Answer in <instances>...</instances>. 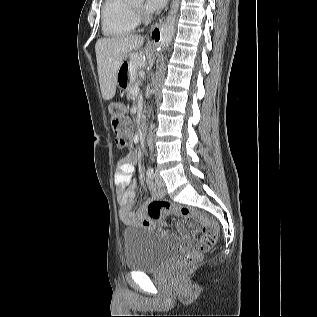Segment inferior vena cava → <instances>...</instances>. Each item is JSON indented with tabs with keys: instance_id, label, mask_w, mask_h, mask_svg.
Here are the masks:
<instances>
[{
	"instance_id": "602c4592",
	"label": "inferior vena cava",
	"mask_w": 317,
	"mask_h": 317,
	"mask_svg": "<svg viewBox=\"0 0 317 317\" xmlns=\"http://www.w3.org/2000/svg\"><path fill=\"white\" fill-rule=\"evenodd\" d=\"M151 129H152V125H151ZM148 144H149L150 150H151V152H152V151H153V143H152L151 137H150L149 140H148Z\"/></svg>"
}]
</instances>
